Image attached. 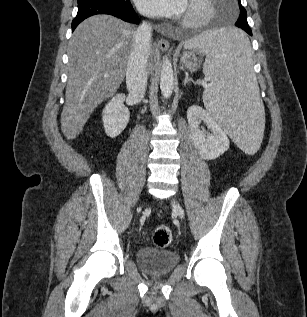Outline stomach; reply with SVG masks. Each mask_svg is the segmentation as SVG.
I'll list each match as a JSON object with an SVG mask.
<instances>
[{"mask_svg":"<svg viewBox=\"0 0 307 317\" xmlns=\"http://www.w3.org/2000/svg\"><path fill=\"white\" fill-rule=\"evenodd\" d=\"M181 62L191 72L199 68V59L195 53L185 52L181 57Z\"/></svg>","mask_w":307,"mask_h":317,"instance_id":"0dacf381","label":"stomach"}]
</instances>
